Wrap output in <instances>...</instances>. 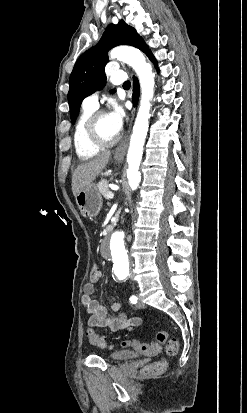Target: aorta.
<instances>
[{"label":"aorta","instance_id":"obj_1","mask_svg":"<svg viewBox=\"0 0 247 413\" xmlns=\"http://www.w3.org/2000/svg\"><path fill=\"white\" fill-rule=\"evenodd\" d=\"M111 57H117L127 63L136 72L141 86L140 106L133 127L130 145L127 155L128 169L127 179L132 190L139 186L141 176L139 166L143 154V146L149 127L150 101L154 95V73L151 65L146 61L144 55L136 48L129 46H119L111 50ZM118 246L114 249V267L119 276L126 275L129 271V259L127 251L121 242V235L116 234Z\"/></svg>","mask_w":247,"mask_h":413}]
</instances>
